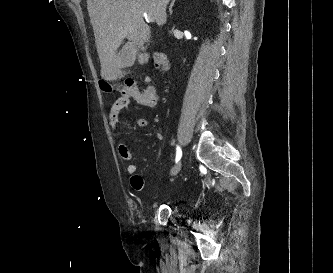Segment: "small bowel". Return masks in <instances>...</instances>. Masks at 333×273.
Masks as SVG:
<instances>
[{"mask_svg":"<svg viewBox=\"0 0 333 273\" xmlns=\"http://www.w3.org/2000/svg\"><path fill=\"white\" fill-rule=\"evenodd\" d=\"M152 95V96H149ZM130 102H136L144 107L152 108L157 104L156 96V85L155 84H144L143 88L138 89L136 94L129 95V97L121 96L112 105L110 110L111 115V126L114 129L118 122V113L124 109ZM137 126L140 128H145L149 125L148 121L144 118H140L136 122ZM119 154L124 161H131L133 159V152L124 144H119ZM136 166L134 164H129L126 167L127 173L130 177L131 187L135 191H142L144 189V182L141 176L136 174Z\"/></svg>","mask_w":333,"mask_h":273,"instance_id":"obj_1","label":"small bowel"}]
</instances>
